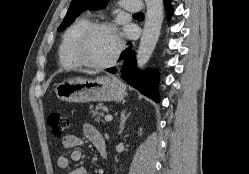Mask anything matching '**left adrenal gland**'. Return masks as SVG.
Listing matches in <instances>:
<instances>
[{
  "mask_svg": "<svg viewBox=\"0 0 249 174\" xmlns=\"http://www.w3.org/2000/svg\"><path fill=\"white\" fill-rule=\"evenodd\" d=\"M129 116H130V113H128V114L126 115V109L123 110V111L121 112V116H120V126H119V132H118V134H121L122 131L124 130L125 122H126V120L129 118Z\"/></svg>",
  "mask_w": 249,
  "mask_h": 174,
  "instance_id": "obj_1",
  "label": "left adrenal gland"
}]
</instances>
